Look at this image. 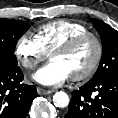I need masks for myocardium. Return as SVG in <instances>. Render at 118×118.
Returning a JSON list of instances; mask_svg holds the SVG:
<instances>
[{
  "label": "myocardium",
  "mask_w": 118,
  "mask_h": 118,
  "mask_svg": "<svg viewBox=\"0 0 118 118\" xmlns=\"http://www.w3.org/2000/svg\"><path fill=\"white\" fill-rule=\"evenodd\" d=\"M87 40H91L95 45V57L90 66L83 73L70 76L71 80L73 81L87 80L98 69L104 53V47L100 37L92 32L87 31L68 39L57 48H55L51 53V55L55 53H69Z\"/></svg>",
  "instance_id": "1"
}]
</instances>
